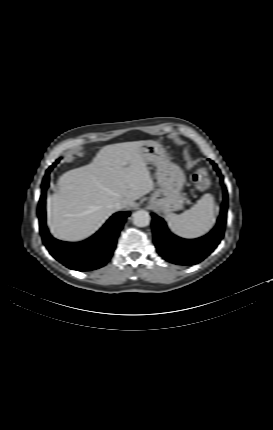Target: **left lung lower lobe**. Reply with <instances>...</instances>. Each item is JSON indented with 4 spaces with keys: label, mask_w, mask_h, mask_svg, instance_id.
<instances>
[{
    "label": "left lung lower lobe",
    "mask_w": 273,
    "mask_h": 430,
    "mask_svg": "<svg viewBox=\"0 0 273 430\" xmlns=\"http://www.w3.org/2000/svg\"><path fill=\"white\" fill-rule=\"evenodd\" d=\"M215 170L220 174L217 165L211 161ZM223 180V176H221ZM228 193L226 187L223 189V204L217 225L204 237L188 240L179 238L169 232L163 219L153 216L152 228L153 238L158 253L167 261L177 265H192L204 260L220 243L223 238L226 214H227Z\"/></svg>",
    "instance_id": "left-lung-lower-lobe-1"
}]
</instances>
